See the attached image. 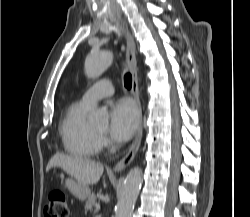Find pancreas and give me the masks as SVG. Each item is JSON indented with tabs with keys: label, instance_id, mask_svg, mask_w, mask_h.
Here are the masks:
<instances>
[{
	"label": "pancreas",
	"instance_id": "cf45deb5",
	"mask_svg": "<svg viewBox=\"0 0 250 217\" xmlns=\"http://www.w3.org/2000/svg\"><path fill=\"white\" fill-rule=\"evenodd\" d=\"M96 204V195L94 193H92L88 200L85 203V210L86 211H92L93 210V206Z\"/></svg>",
	"mask_w": 250,
	"mask_h": 217
}]
</instances>
